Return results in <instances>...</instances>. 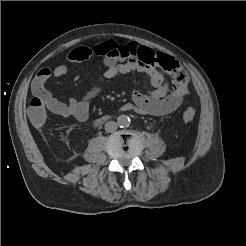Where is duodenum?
I'll return each instance as SVG.
<instances>
[{
	"instance_id": "obj_1",
	"label": "duodenum",
	"mask_w": 246,
	"mask_h": 246,
	"mask_svg": "<svg viewBox=\"0 0 246 246\" xmlns=\"http://www.w3.org/2000/svg\"><path fill=\"white\" fill-rule=\"evenodd\" d=\"M106 120V118H101V119H99L97 122L98 123H101V122H103V121H105Z\"/></svg>"
}]
</instances>
